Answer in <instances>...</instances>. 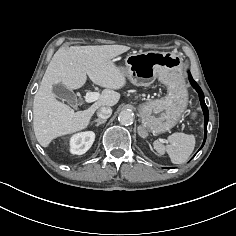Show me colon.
I'll return each instance as SVG.
<instances>
[{
	"label": "colon",
	"mask_w": 236,
	"mask_h": 236,
	"mask_svg": "<svg viewBox=\"0 0 236 236\" xmlns=\"http://www.w3.org/2000/svg\"><path fill=\"white\" fill-rule=\"evenodd\" d=\"M191 115H192V117H194V116H195V113H194V112H192V113H191Z\"/></svg>",
	"instance_id": "colon-1"
}]
</instances>
